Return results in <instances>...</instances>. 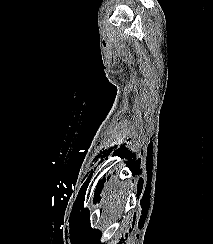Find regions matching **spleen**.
<instances>
[{"label": "spleen", "instance_id": "3e777b00", "mask_svg": "<svg viewBox=\"0 0 213 244\" xmlns=\"http://www.w3.org/2000/svg\"><path fill=\"white\" fill-rule=\"evenodd\" d=\"M128 191V185L124 184L117 188L109 187L102 193L103 212L101 219L103 220V228H107L120 216L125 207Z\"/></svg>", "mask_w": 213, "mask_h": 244}]
</instances>
